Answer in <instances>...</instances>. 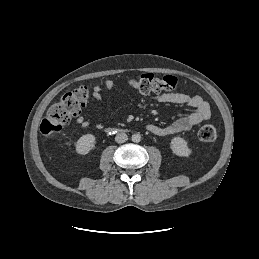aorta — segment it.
Segmentation results:
<instances>
[{"label": "aorta", "mask_w": 259, "mask_h": 259, "mask_svg": "<svg viewBox=\"0 0 259 259\" xmlns=\"http://www.w3.org/2000/svg\"><path fill=\"white\" fill-rule=\"evenodd\" d=\"M132 141L136 142V143L140 142L141 141V135L139 133L133 134L132 135Z\"/></svg>", "instance_id": "obj_1"}]
</instances>
